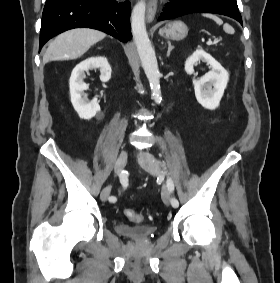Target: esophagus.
Instances as JSON below:
<instances>
[{"label": "esophagus", "instance_id": "34e87169", "mask_svg": "<svg viewBox=\"0 0 280 283\" xmlns=\"http://www.w3.org/2000/svg\"><path fill=\"white\" fill-rule=\"evenodd\" d=\"M157 10V1L156 0H150L147 4V22H152Z\"/></svg>", "mask_w": 280, "mask_h": 283}]
</instances>
